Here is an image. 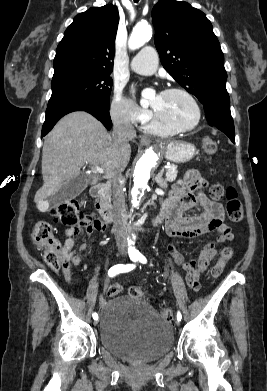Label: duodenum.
<instances>
[{"label": "duodenum", "mask_w": 267, "mask_h": 391, "mask_svg": "<svg viewBox=\"0 0 267 391\" xmlns=\"http://www.w3.org/2000/svg\"><path fill=\"white\" fill-rule=\"evenodd\" d=\"M108 188L105 184H97L91 188V195L94 197V206L100 217L106 222L113 220V210L106 201Z\"/></svg>", "instance_id": "1"}]
</instances>
